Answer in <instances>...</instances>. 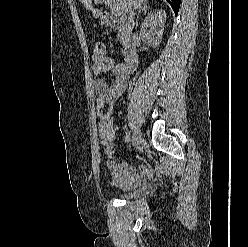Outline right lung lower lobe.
Returning a JSON list of instances; mask_svg holds the SVG:
<instances>
[{"label": "right lung lower lobe", "instance_id": "98d812e1", "mask_svg": "<svg viewBox=\"0 0 248 247\" xmlns=\"http://www.w3.org/2000/svg\"><path fill=\"white\" fill-rule=\"evenodd\" d=\"M169 2V4L171 5V7L173 8L175 15H177L178 11H179V7H180V1L181 0H167Z\"/></svg>", "mask_w": 248, "mask_h": 247}]
</instances>
